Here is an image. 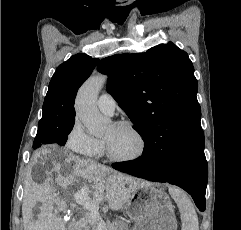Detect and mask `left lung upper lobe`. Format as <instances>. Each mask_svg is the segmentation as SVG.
<instances>
[{"label":"left lung upper lobe","instance_id":"5c2ea615","mask_svg":"<svg viewBox=\"0 0 241 230\" xmlns=\"http://www.w3.org/2000/svg\"><path fill=\"white\" fill-rule=\"evenodd\" d=\"M98 70L145 144L158 139L172 152L204 146L198 82L185 51L169 42L104 58Z\"/></svg>","mask_w":241,"mask_h":230}]
</instances>
